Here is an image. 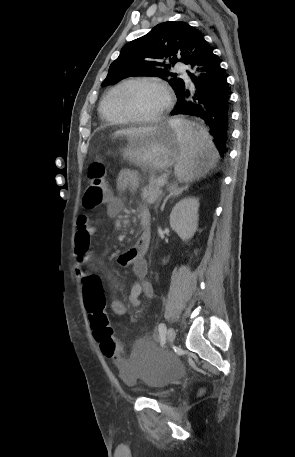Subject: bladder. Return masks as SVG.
<instances>
[{
    "mask_svg": "<svg viewBox=\"0 0 295 457\" xmlns=\"http://www.w3.org/2000/svg\"><path fill=\"white\" fill-rule=\"evenodd\" d=\"M125 360L117 363L120 380L134 386L141 383L148 391L146 396L158 401H166L172 397L165 389L167 383H176L177 354L175 352H159L160 348L153 343L136 345ZM164 350L163 348L161 349Z\"/></svg>",
    "mask_w": 295,
    "mask_h": 457,
    "instance_id": "bladder-1",
    "label": "bladder"
}]
</instances>
